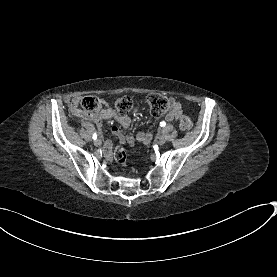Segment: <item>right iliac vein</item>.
<instances>
[{"instance_id":"1","label":"right iliac vein","mask_w":277,"mask_h":277,"mask_svg":"<svg viewBox=\"0 0 277 277\" xmlns=\"http://www.w3.org/2000/svg\"><path fill=\"white\" fill-rule=\"evenodd\" d=\"M101 143H102V142H101L100 139H96V140L94 141V145L97 146V147L100 146Z\"/></svg>"}]
</instances>
